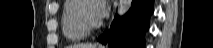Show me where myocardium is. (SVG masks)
I'll list each match as a JSON object with an SVG mask.
<instances>
[{
  "label": "myocardium",
  "instance_id": "obj_1",
  "mask_svg": "<svg viewBox=\"0 0 213 48\" xmlns=\"http://www.w3.org/2000/svg\"><path fill=\"white\" fill-rule=\"evenodd\" d=\"M79 1L80 3L77 6L76 14H77V19L80 25L89 33L95 30H98L102 24L101 20H97L96 22H90L88 18L85 16V14L83 13V9L88 1H85V0L83 1L79 0Z\"/></svg>",
  "mask_w": 213,
  "mask_h": 48
}]
</instances>
